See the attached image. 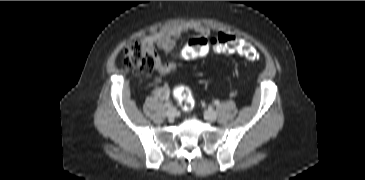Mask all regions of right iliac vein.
<instances>
[{
	"mask_svg": "<svg viewBox=\"0 0 365 180\" xmlns=\"http://www.w3.org/2000/svg\"><path fill=\"white\" fill-rule=\"evenodd\" d=\"M176 115V109L172 106H170L168 109H167V116L168 118L172 119L174 118Z\"/></svg>",
	"mask_w": 365,
	"mask_h": 180,
	"instance_id": "obj_1",
	"label": "right iliac vein"
}]
</instances>
